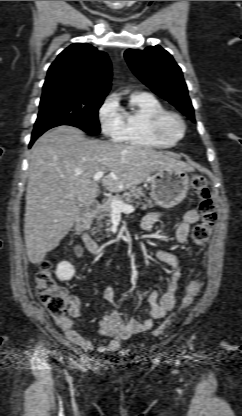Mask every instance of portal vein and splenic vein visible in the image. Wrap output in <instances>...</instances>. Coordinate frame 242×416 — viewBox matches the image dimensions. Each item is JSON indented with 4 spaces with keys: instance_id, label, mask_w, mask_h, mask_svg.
Returning <instances> with one entry per match:
<instances>
[{
    "instance_id": "obj_1",
    "label": "portal vein and splenic vein",
    "mask_w": 242,
    "mask_h": 416,
    "mask_svg": "<svg viewBox=\"0 0 242 416\" xmlns=\"http://www.w3.org/2000/svg\"><path fill=\"white\" fill-rule=\"evenodd\" d=\"M103 176H104V172L102 171L97 172L93 176V181L97 182L100 179H102ZM111 207H112L113 212H118V213H121V212L128 213V212L134 211V207L132 205L125 204L119 200H112Z\"/></svg>"
}]
</instances>
